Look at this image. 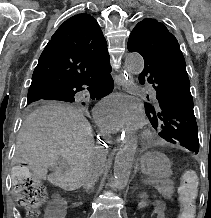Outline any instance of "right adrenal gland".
<instances>
[{
	"mask_svg": "<svg viewBox=\"0 0 211 218\" xmlns=\"http://www.w3.org/2000/svg\"><path fill=\"white\" fill-rule=\"evenodd\" d=\"M92 190H93V188H92ZM85 192H88V190H85Z\"/></svg>",
	"mask_w": 211,
	"mask_h": 218,
	"instance_id": "1",
	"label": "right adrenal gland"
}]
</instances>
